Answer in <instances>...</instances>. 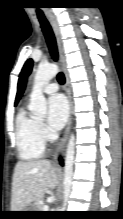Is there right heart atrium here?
<instances>
[{
	"label": "right heart atrium",
	"instance_id": "d8ad5b80",
	"mask_svg": "<svg viewBox=\"0 0 123 219\" xmlns=\"http://www.w3.org/2000/svg\"><path fill=\"white\" fill-rule=\"evenodd\" d=\"M40 133H41L43 139H47L49 137V132L44 125H40Z\"/></svg>",
	"mask_w": 123,
	"mask_h": 219
}]
</instances>
